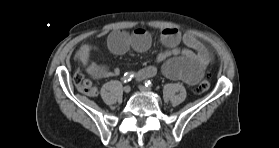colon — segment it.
Returning a JSON list of instances; mask_svg holds the SVG:
<instances>
[{
    "instance_id": "5ec220e1",
    "label": "colon",
    "mask_w": 279,
    "mask_h": 148,
    "mask_svg": "<svg viewBox=\"0 0 279 148\" xmlns=\"http://www.w3.org/2000/svg\"><path fill=\"white\" fill-rule=\"evenodd\" d=\"M74 83L81 93L88 96H95L97 94L96 88L92 83L81 74L74 76ZM210 88V81L208 77H204L196 86L195 91L198 94L206 92Z\"/></svg>"
}]
</instances>
